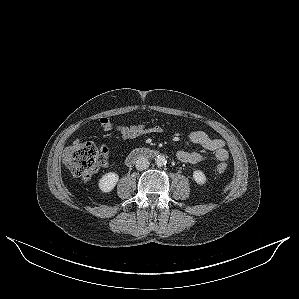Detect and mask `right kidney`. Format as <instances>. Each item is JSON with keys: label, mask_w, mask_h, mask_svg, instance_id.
I'll return each instance as SVG.
<instances>
[{"label": "right kidney", "mask_w": 299, "mask_h": 299, "mask_svg": "<svg viewBox=\"0 0 299 299\" xmlns=\"http://www.w3.org/2000/svg\"><path fill=\"white\" fill-rule=\"evenodd\" d=\"M118 180V174L108 172L100 178L98 185L102 192H110L116 186Z\"/></svg>", "instance_id": "1"}]
</instances>
